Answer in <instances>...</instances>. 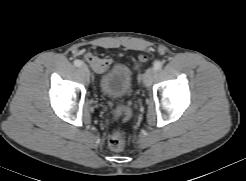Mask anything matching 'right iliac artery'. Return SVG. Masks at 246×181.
<instances>
[{
	"label": "right iliac artery",
	"instance_id": "right-iliac-artery-1",
	"mask_svg": "<svg viewBox=\"0 0 246 181\" xmlns=\"http://www.w3.org/2000/svg\"><path fill=\"white\" fill-rule=\"evenodd\" d=\"M73 63L76 67H80L83 64L81 60H75Z\"/></svg>",
	"mask_w": 246,
	"mask_h": 181
}]
</instances>
